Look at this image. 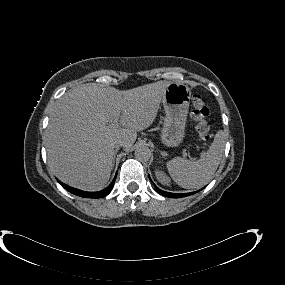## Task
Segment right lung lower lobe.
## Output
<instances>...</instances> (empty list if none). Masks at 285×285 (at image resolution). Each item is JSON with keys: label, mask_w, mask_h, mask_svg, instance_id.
Here are the masks:
<instances>
[{"label": "right lung lower lobe", "mask_w": 285, "mask_h": 285, "mask_svg": "<svg viewBox=\"0 0 285 285\" xmlns=\"http://www.w3.org/2000/svg\"><path fill=\"white\" fill-rule=\"evenodd\" d=\"M115 180H116V176H115L113 182L106 189H104L102 191H98V192H86V191H82V190L70 187V186H68V185H66L60 181H58V182L67 191H69L70 193L75 194L77 196L84 197V198H101V197L108 195L111 192L113 185L115 183Z\"/></svg>", "instance_id": "1"}]
</instances>
